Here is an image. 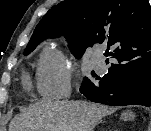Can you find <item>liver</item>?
I'll return each mask as SVG.
<instances>
[{
  "mask_svg": "<svg viewBox=\"0 0 151 131\" xmlns=\"http://www.w3.org/2000/svg\"><path fill=\"white\" fill-rule=\"evenodd\" d=\"M113 109L86 101H41L10 123L9 131H93L95 124ZM123 119L132 120L127 112Z\"/></svg>",
  "mask_w": 151,
  "mask_h": 131,
  "instance_id": "obj_1",
  "label": "liver"
}]
</instances>
